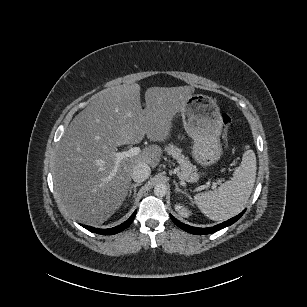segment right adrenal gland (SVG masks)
Segmentation results:
<instances>
[{"label":"right adrenal gland","instance_id":"right-adrenal-gland-1","mask_svg":"<svg viewBox=\"0 0 307 307\" xmlns=\"http://www.w3.org/2000/svg\"><path fill=\"white\" fill-rule=\"evenodd\" d=\"M140 185H141L140 182L139 183H132L131 186L129 187V190H128L129 195H131L132 188L134 189V195H135L136 194L137 186H140Z\"/></svg>","mask_w":307,"mask_h":307}]
</instances>
